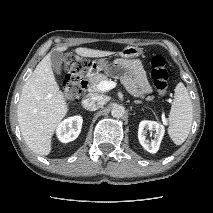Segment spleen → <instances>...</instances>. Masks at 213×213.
I'll use <instances>...</instances> for the list:
<instances>
[{
	"label": "spleen",
	"mask_w": 213,
	"mask_h": 213,
	"mask_svg": "<svg viewBox=\"0 0 213 213\" xmlns=\"http://www.w3.org/2000/svg\"><path fill=\"white\" fill-rule=\"evenodd\" d=\"M168 134L176 145L187 139L193 121V107L189 93L182 82L175 87L174 101L169 114Z\"/></svg>",
	"instance_id": "obj_1"
}]
</instances>
